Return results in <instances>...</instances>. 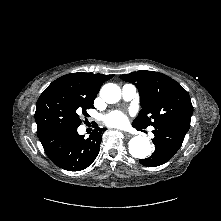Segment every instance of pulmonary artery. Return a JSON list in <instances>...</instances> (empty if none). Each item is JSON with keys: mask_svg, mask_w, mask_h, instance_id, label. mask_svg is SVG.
<instances>
[{"mask_svg": "<svg viewBox=\"0 0 221 221\" xmlns=\"http://www.w3.org/2000/svg\"><path fill=\"white\" fill-rule=\"evenodd\" d=\"M137 93V88L133 84H125L122 87V97L125 101L132 100Z\"/></svg>", "mask_w": 221, "mask_h": 221, "instance_id": "1", "label": "pulmonary artery"}]
</instances>
